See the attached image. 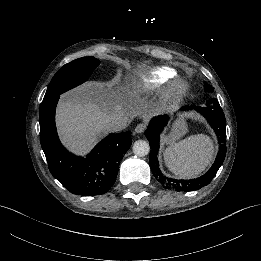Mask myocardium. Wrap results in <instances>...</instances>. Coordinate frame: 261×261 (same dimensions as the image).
<instances>
[{
  "mask_svg": "<svg viewBox=\"0 0 261 261\" xmlns=\"http://www.w3.org/2000/svg\"><path fill=\"white\" fill-rule=\"evenodd\" d=\"M188 90L187 83L182 79H176L172 83L171 93L175 97L183 96Z\"/></svg>",
  "mask_w": 261,
  "mask_h": 261,
  "instance_id": "f54148a6",
  "label": "myocardium"
}]
</instances>
